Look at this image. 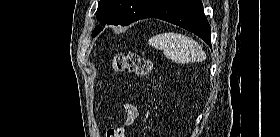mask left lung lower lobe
<instances>
[{
  "mask_svg": "<svg viewBox=\"0 0 280 137\" xmlns=\"http://www.w3.org/2000/svg\"><path fill=\"white\" fill-rule=\"evenodd\" d=\"M158 18L193 32L211 47V28L201 0H160L140 19Z\"/></svg>",
  "mask_w": 280,
  "mask_h": 137,
  "instance_id": "1",
  "label": "left lung lower lobe"
}]
</instances>
